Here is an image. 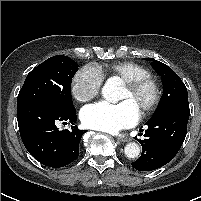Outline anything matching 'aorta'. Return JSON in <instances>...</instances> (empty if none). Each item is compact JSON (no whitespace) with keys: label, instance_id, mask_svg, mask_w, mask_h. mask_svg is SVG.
Here are the masks:
<instances>
[{"label":"aorta","instance_id":"aorta-1","mask_svg":"<svg viewBox=\"0 0 201 201\" xmlns=\"http://www.w3.org/2000/svg\"><path fill=\"white\" fill-rule=\"evenodd\" d=\"M118 87L111 81H107L102 88L103 97L109 102H116L118 100ZM125 155L134 159L137 158L140 154V147L135 142L128 143L124 148Z\"/></svg>","mask_w":201,"mask_h":201}]
</instances>
